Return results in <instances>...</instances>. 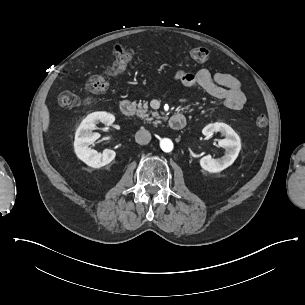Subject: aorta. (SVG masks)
Here are the masks:
<instances>
[{"mask_svg": "<svg viewBox=\"0 0 305 305\" xmlns=\"http://www.w3.org/2000/svg\"><path fill=\"white\" fill-rule=\"evenodd\" d=\"M160 147L164 152H171L173 150V143L168 138H163L160 140Z\"/></svg>", "mask_w": 305, "mask_h": 305, "instance_id": "1", "label": "aorta"}]
</instances>
